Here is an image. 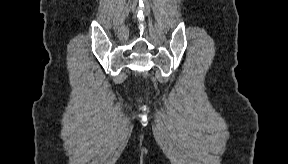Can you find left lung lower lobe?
I'll return each mask as SVG.
<instances>
[{
  "instance_id": "1",
  "label": "left lung lower lobe",
  "mask_w": 288,
  "mask_h": 164,
  "mask_svg": "<svg viewBox=\"0 0 288 164\" xmlns=\"http://www.w3.org/2000/svg\"><path fill=\"white\" fill-rule=\"evenodd\" d=\"M251 79H255L257 81L256 86L259 90H262L266 84V76L262 72L251 73L247 76V81L249 82Z\"/></svg>"
}]
</instances>
